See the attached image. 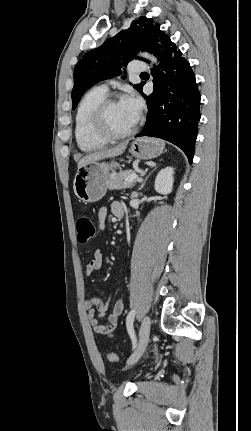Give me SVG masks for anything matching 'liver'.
<instances>
[{"label":"liver","instance_id":"liver-1","mask_svg":"<svg viewBox=\"0 0 251 431\" xmlns=\"http://www.w3.org/2000/svg\"><path fill=\"white\" fill-rule=\"evenodd\" d=\"M127 145H128V142L126 141V142H123V143H121L115 147H112L109 149H103V150H100L98 152L88 154L79 160L78 168L82 167L83 165H85L86 163H89V162H94V161H99V160H102L105 158L119 156L125 151Z\"/></svg>","mask_w":251,"mask_h":431}]
</instances>
